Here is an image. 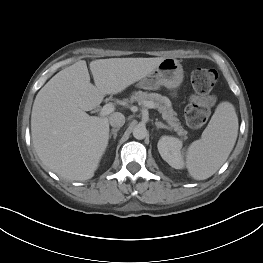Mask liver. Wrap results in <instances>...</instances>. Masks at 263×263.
<instances>
[{"instance_id": "6515ba94", "label": "liver", "mask_w": 263, "mask_h": 263, "mask_svg": "<svg viewBox=\"0 0 263 263\" xmlns=\"http://www.w3.org/2000/svg\"><path fill=\"white\" fill-rule=\"evenodd\" d=\"M163 59L91 61L95 85L85 60L54 75L38 92L31 114L33 146L42 164L66 180L91 179L108 145L109 120L86 111L150 74Z\"/></svg>"}]
</instances>
